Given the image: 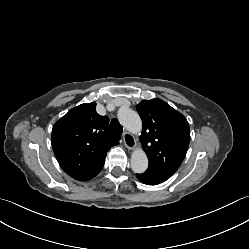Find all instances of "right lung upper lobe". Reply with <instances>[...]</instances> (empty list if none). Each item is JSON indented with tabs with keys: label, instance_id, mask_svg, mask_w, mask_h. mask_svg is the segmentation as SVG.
Returning a JSON list of instances; mask_svg holds the SVG:
<instances>
[{
	"label": "right lung upper lobe",
	"instance_id": "right-lung-upper-lobe-1",
	"mask_svg": "<svg viewBox=\"0 0 249 249\" xmlns=\"http://www.w3.org/2000/svg\"><path fill=\"white\" fill-rule=\"evenodd\" d=\"M109 119L96 112V103L71 109L52 129V147L61 168L72 178L87 181L105 163L108 150L120 137L108 128Z\"/></svg>",
	"mask_w": 249,
	"mask_h": 249
}]
</instances>
